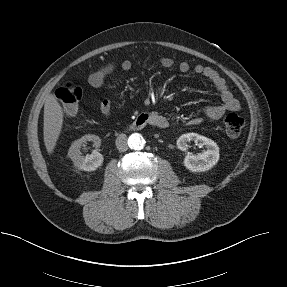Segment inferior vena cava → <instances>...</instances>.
Returning <instances> with one entry per match:
<instances>
[{
  "instance_id": "inferior-vena-cava-1",
  "label": "inferior vena cava",
  "mask_w": 287,
  "mask_h": 287,
  "mask_svg": "<svg viewBox=\"0 0 287 287\" xmlns=\"http://www.w3.org/2000/svg\"><path fill=\"white\" fill-rule=\"evenodd\" d=\"M116 147L120 152H124L128 149L126 134H120L116 139Z\"/></svg>"
}]
</instances>
